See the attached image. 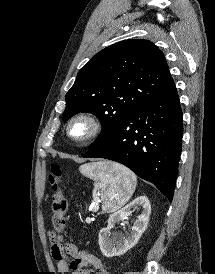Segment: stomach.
<instances>
[{
  "label": "stomach",
  "mask_w": 215,
  "mask_h": 274,
  "mask_svg": "<svg viewBox=\"0 0 215 274\" xmlns=\"http://www.w3.org/2000/svg\"><path fill=\"white\" fill-rule=\"evenodd\" d=\"M110 165H112V164H115V163H111V162H108Z\"/></svg>",
  "instance_id": "obj_1"
}]
</instances>
